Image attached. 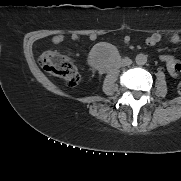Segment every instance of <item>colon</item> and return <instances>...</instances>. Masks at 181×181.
Masks as SVG:
<instances>
[{"label": "colon", "mask_w": 181, "mask_h": 181, "mask_svg": "<svg viewBox=\"0 0 181 181\" xmlns=\"http://www.w3.org/2000/svg\"><path fill=\"white\" fill-rule=\"evenodd\" d=\"M40 64L48 74L61 78L70 86H75L80 81V74L74 63L58 52H44L40 56ZM178 90L181 93V82Z\"/></svg>", "instance_id": "5ec220e1"}]
</instances>
